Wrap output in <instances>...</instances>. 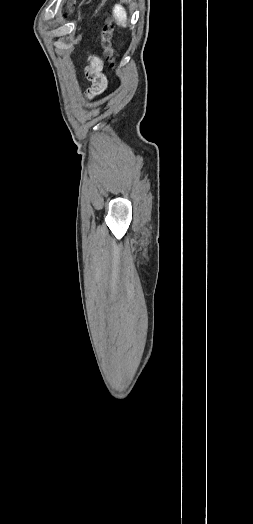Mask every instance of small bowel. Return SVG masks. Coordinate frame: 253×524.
<instances>
[{
	"mask_svg": "<svg viewBox=\"0 0 253 524\" xmlns=\"http://www.w3.org/2000/svg\"><path fill=\"white\" fill-rule=\"evenodd\" d=\"M87 77L91 82V87L88 90L89 96H96L105 92L108 81L102 73L101 62L98 58H90V67L87 69Z\"/></svg>",
	"mask_w": 253,
	"mask_h": 524,
	"instance_id": "obj_1",
	"label": "small bowel"
}]
</instances>
